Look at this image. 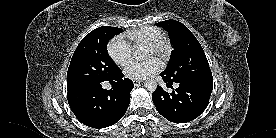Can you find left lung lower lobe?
<instances>
[{
    "instance_id": "0a47b994",
    "label": "left lung lower lobe",
    "mask_w": 276,
    "mask_h": 138,
    "mask_svg": "<svg viewBox=\"0 0 276 138\" xmlns=\"http://www.w3.org/2000/svg\"><path fill=\"white\" fill-rule=\"evenodd\" d=\"M167 85L174 82L160 73ZM178 83L172 93H167L159 86L152 94L157 111L167 120L186 123L197 118L208 106L213 80L175 82Z\"/></svg>"
}]
</instances>
